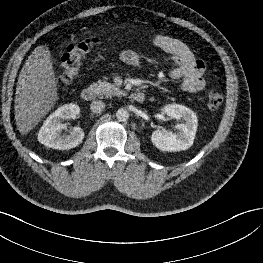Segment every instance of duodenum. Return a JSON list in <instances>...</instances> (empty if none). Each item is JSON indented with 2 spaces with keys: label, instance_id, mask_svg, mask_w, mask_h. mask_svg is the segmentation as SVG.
I'll list each match as a JSON object with an SVG mask.
<instances>
[{
  "label": "duodenum",
  "instance_id": "duodenum-1",
  "mask_svg": "<svg viewBox=\"0 0 263 263\" xmlns=\"http://www.w3.org/2000/svg\"><path fill=\"white\" fill-rule=\"evenodd\" d=\"M81 97L84 101H92L96 98V90L91 86L85 87L81 92ZM131 98L134 101L141 103L145 100L146 95L142 91H137L132 93Z\"/></svg>",
  "mask_w": 263,
  "mask_h": 263
}]
</instances>
